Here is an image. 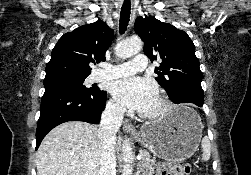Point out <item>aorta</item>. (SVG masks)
<instances>
[{"instance_id": "1", "label": "aorta", "mask_w": 251, "mask_h": 175, "mask_svg": "<svg viewBox=\"0 0 251 175\" xmlns=\"http://www.w3.org/2000/svg\"><path fill=\"white\" fill-rule=\"evenodd\" d=\"M143 48V42L140 38H130V40H124V42H120L117 44L115 48V56L117 58H131V56H135L138 52H141ZM131 143L129 141V137H125L122 143V153H123V173L122 175H131L132 173V165L130 163L132 157L131 151Z\"/></svg>"}]
</instances>
